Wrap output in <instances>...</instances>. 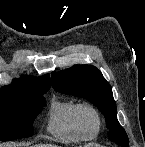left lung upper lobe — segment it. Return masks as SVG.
Listing matches in <instances>:
<instances>
[{"label":"left lung upper lobe","instance_id":"5c2ea615","mask_svg":"<svg viewBox=\"0 0 145 147\" xmlns=\"http://www.w3.org/2000/svg\"><path fill=\"white\" fill-rule=\"evenodd\" d=\"M51 76L56 91L92 102L105 116L110 140L122 147H129L128 136L117 120L112 88L96 67L77 65L57 73L52 72Z\"/></svg>","mask_w":145,"mask_h":147}]
</instances>
